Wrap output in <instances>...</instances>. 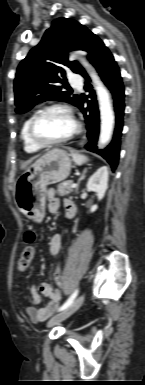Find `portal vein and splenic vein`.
<instances>
[{"instance_id":"portal-vein-and-splenic-vein-1","label":"portal vein and splenic vein","mask_w":145,"mask_h":385,"mask_svg":"<svg viewBox=\"0 0 145 385\" xmlns=\"http://www.w3.org/2000/svg\"><path fill=\"white\" fill-rule=\"evenodd\" d=\"M76 186H77V184H75V183L71 184L72 188H76Z\"/></svg>"}]
</instances>
